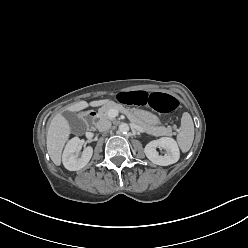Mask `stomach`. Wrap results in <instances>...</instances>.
Here are the masks:
<instances>
[{"label":"stomach","mask_w":248,"mask_h":248,"mask_svg":"<svg viewBox=\"0 0 248 248\" xmlns=\"http://www.w3.org/2000/svg\"><path fill=\"white\" fill-rule=\"evenodd\" d=\"M134 113L141 121L149 125H157L160 123L158 117L150 112L138 109L135 110Z\"/></svg>","instance_id":"0dacf381"}]
</instances>
